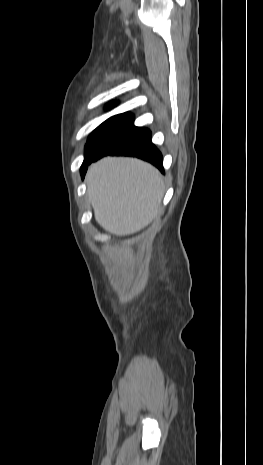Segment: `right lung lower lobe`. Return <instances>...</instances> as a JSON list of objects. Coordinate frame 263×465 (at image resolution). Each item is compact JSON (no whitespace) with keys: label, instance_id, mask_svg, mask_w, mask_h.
Masks as SVG:
<instances>
[{"label":"right lung lower lobe","instance_id":"right-lung-lower-lobe-1","mask_svg":"<svg viewBox=\"0 0 263 465\" xmlns=\"http://www.w3.org/2000/svg\"><path fill=\"white\" fill-rule=\"evenodd\" d=\"M134 117H127L108 135L97 153L82 164L81 174L84 177L87 165L107 155H125L138 157L155 165L161 172L163 158L159 150L151 142V132L148 129L135 127Z\"/></svg>","mask_w":263,"mask_h":465}]
</instances>
